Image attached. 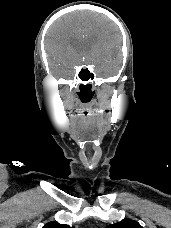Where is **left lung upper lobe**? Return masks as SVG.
<instances>
[{"mask_svg": "<svg viewBox=\"0 0 171 228\" xmlns=\"http://www.w3.org/2000/svg\"><path fill=\"white\" fill-rule=\"evenodd\" d=\"M106 228H143L138 222L134 220H126L117 224L108 225Z\"/></svg>", "mask_w": 171, "mask_h": 228, "instance_id": "left-lung-upper-lobe-1", "label": "left lung upper lobe"}]
</instances>
